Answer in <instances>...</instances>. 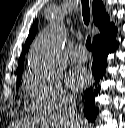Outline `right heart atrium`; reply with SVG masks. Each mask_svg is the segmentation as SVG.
<instances>
[{"label":"right heart atrium","mask_w":125,"mask_h":128,"mask_svg":"<svg viewBox=\"0 0 125 128\" xmlns=\"http://www.w3.org/2000/svg\"><path fill=\"white\" fill-rule=\"evenodd\" d=\"M24 87L32 107L37 111L55 112L72 101L54 74L30 71L25 77Z\"/></svg>","instance_id":"1"}]
</instances>
